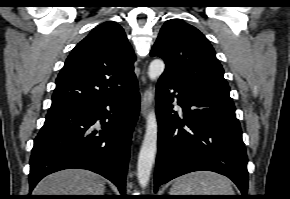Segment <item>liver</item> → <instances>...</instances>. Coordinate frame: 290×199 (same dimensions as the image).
I'll use <instances>...</instances> for the list:
<instances>
[{
  "mask_svg": "<svg viewBox=\"0 0 290 199\" xmlns=\"http://www.w3.org/2000/svg\"><path fill=\"white\" fill-rule=\"evenodd\" d=\"M104 179L90 171L68 169L44 178L34 189L35 195H103Z\"/></svg>",
  "mask_w": 290,
  "mask_h": 199,
  "instance_id": "6515ba94",
  "label": "liver"
}]
</instances>
